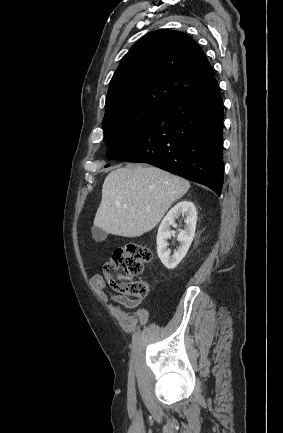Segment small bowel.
<instances>
[{
    "label": "small bowel",
    "mask_w": 283,
    "mask_h": 433,
    "mask_svg": "<svg viewBox=\"0 0 283 433\" xmlns=\"http://www.w3.org/2000/svg\"><path fill=\"white\" fill-rule=\"evenodd\" d=\"M91 285L100 301L110 305L117 313L118 318L127 326L134 325L137 321L144 323L146 321V314L140 312L137 315L131 316L127 314L122 307L127 309L139 308L142 300L132 299L122 295H110L106 290L104 278L95 274L90 279Z\"/></svg>",
    "instance_id": "obj_1"
}]
</instances>
